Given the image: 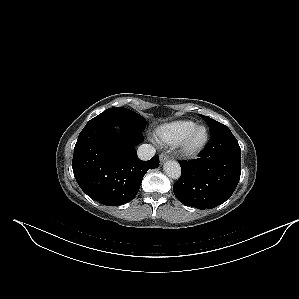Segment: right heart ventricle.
<instances>
[{
	"label": "right heart ventricle",
	"mask_w": 299,
	"mask_h": 299,
	"mask_svg": "<svg viewBox=\"0 0 299 299\" xmlns=\"http://www.w3.org/2000/svg\"><path fill=\"white\" fill-rule=\"evenodd\" d=\"M196 123L191 120H176L162 124L155 131V138L166 145L178 144Z\"/></svg>",
	"instance_id": "right-heart-ventricle-1"
}]
</instances>
